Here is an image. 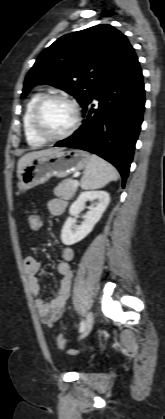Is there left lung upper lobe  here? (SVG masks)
<instances>
[{
  "mask_svg": "<svg viewBox=\"0 0 165 419\" xmlns=\"http://www.w3.org/2000/svg\"><path fill=\"white\" fill-rule=\"evenodd\" d=\"M133 53L126 36L107 24L64 35L38 56L21 97L38 84H48L73 95L83 108Z\"/></svg>",
  "mask_w": 165,
  "mask_h": 419,
  "instance_id": "5c2ea615",
  "label": "left lung upper lobe"
}]
</instances>
